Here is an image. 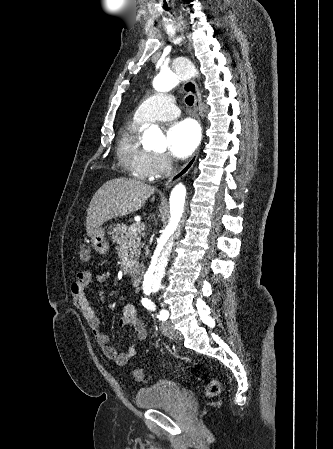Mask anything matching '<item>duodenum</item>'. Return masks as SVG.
<instances>
[{"instance_id":"obj_1","label":"duodenum","mask_w":333,"mask_h":449,"mask_svg":"<svg viewBox=\"0 0 333 449\" xmlns=\"http://www.w3.org/2000/svg\"><path fill=\"white\" fill-rule=\"evenodd\" d=\"M142 269L140 267H132L130 269L131 282L134 287H139L142 280Z\"/></svg>"}]
</instances>
